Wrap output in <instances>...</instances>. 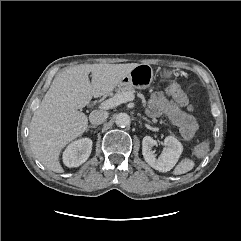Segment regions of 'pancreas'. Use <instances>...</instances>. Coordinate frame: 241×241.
<instances>
[{
	"instance_id": "1",
	"label": "pancreas",
	"mask_w": 241,
	"mask_h": 241,
	"mask_svg": "<svg viewBox=\"0 0 241 241\" xmlns=\"http://www.w3.org/2000/svg\"><path fill=\"white\" fill-rule=\"evenodd\" d=\"M126 92H132L135 93V88L132 85H127L125 87H120L116 91V95L126 93Z\"/></svg>"
}]
</instances>
